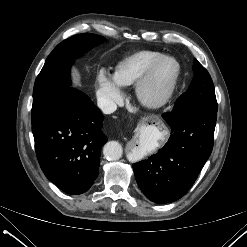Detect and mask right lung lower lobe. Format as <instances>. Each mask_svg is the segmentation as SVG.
Returning a JSON list of instances; mask_svg holds the SVG:
<instances>
[{"instance_id":"1","label":"right lung lower lobe","mask_w":247,"mask_h":247,"mask_svg":"<svg viewBox=\"0 0 247 247\" xmlns=\"http://www.w3.org/2000/svg\"><path fill=\"white\" fill-rule=\"evenodd\" d=\"M103 115L91 99L71 87L37 123L35 151L46 177L62 191L86 192L99 174L100 149L106 143Z\"/></svg>"}]
</instances>
